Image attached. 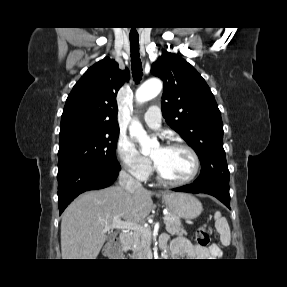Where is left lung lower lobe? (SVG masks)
Masks as SVG:
<instances>
[{"label":"left lung lower lobe","instance_id":"obj_1","mask_svg":"<svg viewBox=\"0 0 287 287\" xmlns=\"http://www.w3.org/2000/svg\"><path fill=\"white\" fill-rule=\"evenodd\" d=\"M178 192H187V193H205L216 197L223 204H225L228 208H230V194H229V186H226L221 183H203L197 184L193 183L190 185H185L179 188L173 189Z\"/></svg>","mask_w":287,"mask_h":287}]
</instances>
